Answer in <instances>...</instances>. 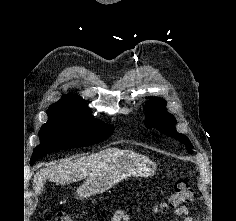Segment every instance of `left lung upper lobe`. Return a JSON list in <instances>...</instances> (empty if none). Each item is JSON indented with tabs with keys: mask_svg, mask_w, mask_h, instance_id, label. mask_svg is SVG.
I'll use <instances>...</instances> for the list:
<instances>
[{
	"mask_svg": "<svg viewBox=\"0 0 236 221\" xmlns=\"http://www.w3.org/2000/svg\"><path fill=\"white\" fill-rule=\"evenodd\" d=\"M164 105H166L164 100L156 99L148 102L145 107L147 128L155 127L167 136L178 138L181 143L185 144L188 152L192 153L193 145L185 135L175 130L176 120L172 114L163 109Z\"/></svg>",
	"mask_w": 236,
	"mask_h": 221,
	"instance_id": "left-lung-upper-lobe-1",
	"label": "left lung upper lobe"
}]
</instances>
